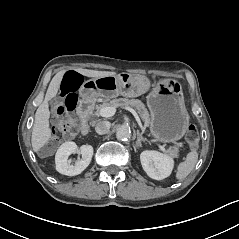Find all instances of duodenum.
Segmentation results:
<instances>
[{
	"instance_id": "obj_1",
	"label": "duodenum",
	"mask_w": 239,
	"mask_h": 239,
	"mask_svg": "<svg viewBox=\"0 0 239 239\" xmlns=\"http://www.w3.org/2000/svg\"><path fill=\"white\" fill-rule=\"evenodd\" d=\"M78 115L81 120L80 132L82 135H87L90 129V118L92 113V103L89 99H82L77 108Z\"/></svg>"
}]
</instances>
